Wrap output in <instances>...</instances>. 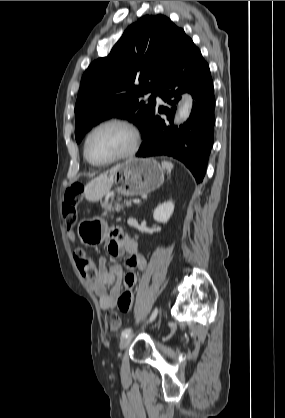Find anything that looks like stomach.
<instances>
[{
	"instance_id": "obj_1",
	"label": "stomach",
	"mask_w": 285,
	"mask_h": 418,
	"mask_svg": "<svg viewBox=\"0 0 285 418\" xmlns=\"http://www.w3.org/2000/svg\"><path fill=\"white\" fill-rule=\"evenodd\" d=\"M118 193L135 196L149 193L164 182V168L153 158H130L113 172ZM107 222L101 217L84 219L77 233L84 244L102 243L107 235Z\"/></svg>"
}]
</instances>
